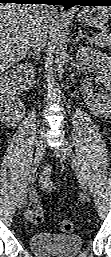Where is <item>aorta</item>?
Segmentation results:
<instances>
[{
    "label": "aorta",
    "instance_id": "1",
    "mask_svg": "<svg viewBox=\"0 0 111 257\" xmlns=\"http://www.w3.org/2000/svg\"><path fill=\"white\" fill-rule=\"evenodd\" d=\"M66 34L63 29H60V31L57 34L58 39V47L56 50V59L55 62L57 64V72H58V78L59 80L62 78L63 74V64L65 62V58L67 57L66 49Z\"/></svg>",
    "mask_w": 111,
    "mask_h": 257
}]
</instances>
